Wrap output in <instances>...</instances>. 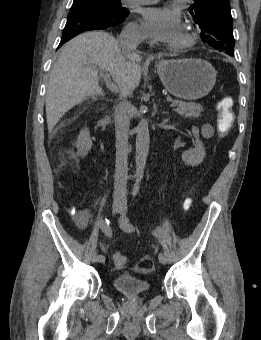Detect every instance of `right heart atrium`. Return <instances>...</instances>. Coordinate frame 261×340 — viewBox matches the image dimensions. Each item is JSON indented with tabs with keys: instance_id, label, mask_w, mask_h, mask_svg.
Here are the masks:
<instances>
[{
	"instance_id": "1",
	"label": "right heart atrium",
	"mask_w": 261,
	"mask_h": 340,
	"mask_svg": "<svg viewBox=\"0 0 261 340\" xmlns=\"http://www.w3.org/2000/svg\"><path fill=\"white\" fill-rule=\"evenodd\" d=\"M124 34L127 36H132V37H137V38L145 37L143 28L137 22L130 23L125 28Z\"/></svg>"
}]
</instances>
